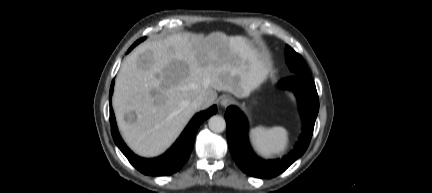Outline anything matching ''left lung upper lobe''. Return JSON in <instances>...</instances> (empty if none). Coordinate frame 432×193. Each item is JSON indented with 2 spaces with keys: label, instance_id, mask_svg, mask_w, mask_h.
I'll return each instance as SVG.
<instances>
[{
  "label": "left lung upper lobe",
  "instance_id": "1",
  "mask_svg": "<svg viewBox=\"0 0 432 193\" xmlns=\"http://www.w3.org/2000/svg\"><path fill=\"white\" fill-rule=\"evenodd\" d=\"M285 55L288 67L295 75H311L301 55L288 45L286 46Z\"/></svg>",
  "mask_w": 432,
  "mask_h": 193
}]
</instances>
